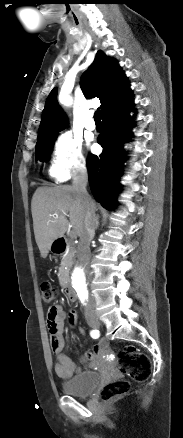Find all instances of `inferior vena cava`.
Here are the masks:
<instances>
[{
  "mask_svg": "<svg viewBox=\"0 0 183 438\" xmlns=\"http://www.w3.org/2000/svg\"><path fill=\"white\" fill-rule=\"evenodd\" d=\"M88 182V173L86 166L81 164L75 170L73 175V187L79 194L86 206L84 229L80 235V242L77 250V257L80 264L83 266L86 276L89 279V261H90V242L95 235V211L91 208L89 201L90 197L86 190ZM95 307V299L92 295L89 296L86 308L92 309Z\"/></svg>",
  "mask_w": 183,
  "mask_h": 438,
  "instance_id": "obj_1",
  "label": "inferior vena cava"
}]
</instances>
